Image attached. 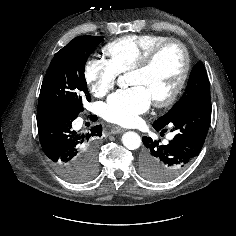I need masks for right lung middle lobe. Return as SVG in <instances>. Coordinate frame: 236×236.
<instances>
[{
	"label": "right lung middle lobe",
	"instance_id": "dd1d6c3e",
	"mask_svg": "<svg viewBox=\"0 0 236 236\" xmlns=\"http://www.w3.org/2000/svg\"><path fill=\"white\" fill-rule=\"evenodd\" d=\"M102 40L99 36L76 37L56 53L42 82L38 109H58L77 115L84 110L83 102L91 100L84 77L85 64ZM96 169L94 157L81 168L78 182L92 178Z\"/></svg>",
	"mask_w": 236,
	"mask_h": 236
}]
</instances>
